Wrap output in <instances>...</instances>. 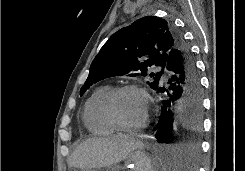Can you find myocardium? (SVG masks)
<instances>
[{"label": "myocardium", "instance_id": "1", "mask_svg": "<svg viewBox=\"0 0 245 171\" xmlns=\"http://www.w3.org/2000/svg\"><path fill=\"white\" fill-rule=\"evenodd\" d=\"M127 91H136L142 94L147 103L146 115L144 119L139 124L136 125H128L123 123L117 114V110H116L117 99L121 94ZM104 109L108 119L115 125L117 129L122 131H137L144 128L148 122L149 111H150V96L146 91V89L141 87L140 85L137 84L121 85L115 89H112L110 93L107 95L104 103Z\"/></svg>", "mask_w": 245, "mask_h": 171}]
</instances>
